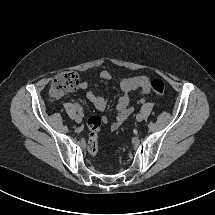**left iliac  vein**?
I'll return each instance as SVG.
<instances>
[{"label": "left iliac vein", "mask_w": 215, "mask_h": 215, "mask_svg": "<svg viewBox=\"0 0 215 215\" xmlns=\"http://www.w3.org/2000/svg\"><path fill=\"white\" fill-rule=\"evenodd\" d=\"M136 120H137L138 122L142 121V120H143V115H142V114H137V115H136Z\"/></svg>", "instance_id": "4c4485c4"}]
</instances>
